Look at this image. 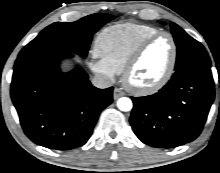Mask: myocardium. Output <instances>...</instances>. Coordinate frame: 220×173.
Returning a JSON list of instances; mask_svg holds the SVG:
<instances>
[{
	"mask_svg": "<svg viewBox=\"0 0 220 173\" xmlns=\"http://www.w3.org/2000/svg\"><path fill=\"white\" fill-rule=\"evenodd\" d=\"M167 37L171 43V58L168 65V68L164 74L153 84L148 86H136L130 82V74L135 69L138 64L141 56L143 55L146 48L155 40L160 37ZM177 63V44L172 34L166 31H159L141 41L138 46L135 48L134 52L128 59L122 71V81L125 87L132 93L140 96L151 95L162 89L167 82L172 77Z\"/></svg>",
	"mask_w": 220,
	"mask_h": 173,
	"instance_id": "f54148a6",
	"label": "myocardium"
}]
</instances>
